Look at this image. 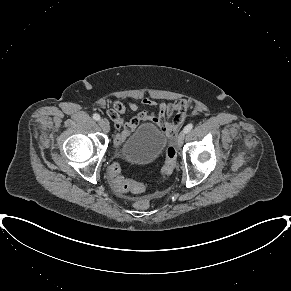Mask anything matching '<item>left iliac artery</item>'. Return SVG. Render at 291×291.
<instances>
[{"instance_id":"left-iliac-artery-1","label":"left iliac artery","mask_w":291,"mask_h":291,"mask_svg":"<svg viewBox=\"0 0 291 291\" xmlns=\"http://www.w3.org/2000/svg\"><path fill=\"white\" fill-rule=\"evenodd\" d=\"M192 128H193V124L190 123L184 127L183 132L186 134V133L190 132L192 130Z\"/></svg>"}]
</instances>
